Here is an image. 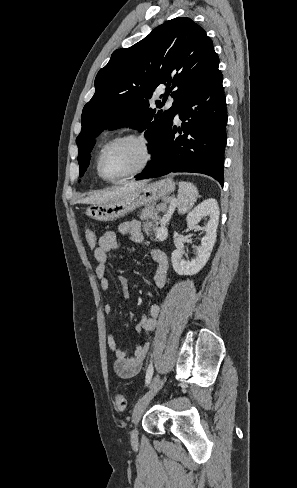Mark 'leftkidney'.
Segmentation results:
<instances>
[{
  "instance_id": "obj_1",
  "label": "left kidney",
  "mask_w": 297,
  "mask_h": 488,
  "mask_svg": "<svg viewBox=\"0 0 297 488\" xmlns=\"http://www.w3.org/2000/svg\"><path fill=\"white\" fill-rule=\"evenodd\" d=\"M203 216H208V222L202 227L205 236L200 246L196 247V258L191 260L183 259V250H174L171 256L173 269L179 275H194L198 273L207 263L213 246L216 241V232L219 222V207L213 198L207 199L199 204L186 217L187 227L194 228Z\"/></svg>"
}]
</instances>
